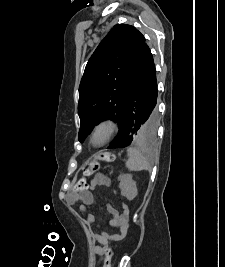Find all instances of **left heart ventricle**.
<instances>
[{"mask_svg": "<svg viewBox=\"0 0 225 267\" xmlns=\"http://www.w3.org/2000/svg\"><path fill=\"white\" fill-rule=\"evenodd\" d=\"M108 133V129L106 127H101L99 128L93 137V142L95 144L101 143L107 136Z\"/></svg>", "mask_w": 225, "mask_h": 267, "instance_id": "left-heart-ventricle-1", "label": "left heart ventricle"}]
</instances>
